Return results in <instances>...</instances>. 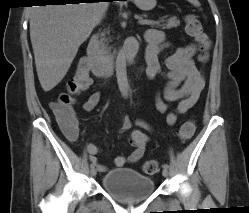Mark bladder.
<instances>
[{
	"label": "bladder",
	"instance_id": "1",
	"mask_svg": "<svg viewBox=\"0 0 249 213\" xmlns=\"http://www.w3.org/2000/svg\"><path fill=\"white\" fill-rule=\"evenodd\" d=\"M101 182L104 191L127 204L137 203L155 190L151 177L130 168L113 169L102 177Z\"/></svg>",
	"mask_w": 249,
	"mask_h": 213
}]
</instances>
